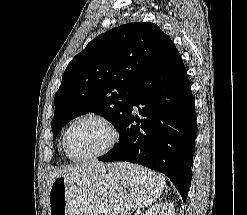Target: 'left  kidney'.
<instances>
[{
    "mask_svg": "<svg viewBox=\"0 0 247 215\" xmlns=\"http://www.w3.org/2000/svg\"><path fill=\"white\" fill-rule=\"evenodd\" d=\"M145 215H175L174 205L172 203H160L148 209Z\"/></svg>",
    "mask_w": 247,
    "mask_h": 215,
    "instance_id": "5707ae66",
    "label": "left kidney"
}]
</instances>
